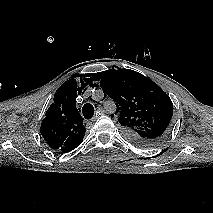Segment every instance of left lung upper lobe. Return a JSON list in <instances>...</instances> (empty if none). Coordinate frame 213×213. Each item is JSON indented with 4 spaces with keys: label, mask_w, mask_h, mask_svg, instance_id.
<instances>
[{
    "label": "left lung upper lobe",
    "mask_w": 213,
    "mask_h": 213,
    "mask_svg": "<svg viewBox=\"0 0 213 213\" xmlns=\"http://www.w3.org/2000/svg\"><path fill=\"white\" fill-rule=\"evenodd\" d=\"M99 80L105 97L116 102L118 122L128 140L142 147L164 140L173 103L156 83L136 71L118 67L101 72Z\"/></svg>",
    "instance_id": "1"
}]
</instances>
